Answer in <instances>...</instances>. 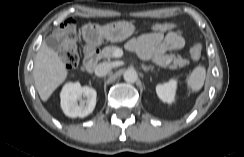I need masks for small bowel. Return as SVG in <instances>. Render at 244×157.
<instances>
[{
  "mask_svg": "<svg viewBox=\"0 0 244 157\" xmlns=\"http://www.w3.org/2000/svg\"><path fill=\"white\" fill-rule=\"evenodd\" d=\"M184 46L185 39L179 30L143 34L131 39L127 44L128 49L146 60L161 58L167 52L181 50Z\"/></svg>",
  "mask_w": 244,
  "mask_h": 157,
  "instance_id": "small-bowel-1",
  "label": "small bowel"
}]
</instances>
